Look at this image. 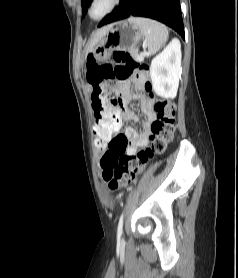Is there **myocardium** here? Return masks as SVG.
<instances>
[{
	"instance_id": "obj_1",
	"label": "myocardium",
	"mask_w": 238,
	"mask_h": 278,
	"mask_svg": "<svg viewBox=\"0 0 238 278\" xmlns=\"http://www.w3.org/2000/svg\"><path fill=\"white\" fill-rule=\"evenodd\" d=\"M121 1L122 0H111L108 9L101 16L94 17L92 15V10H93V7L96 5V3L99 2V0H91L88 5V8H87V15L94 22L101 21L104 18H106L107 16H109L111 13H113L117 9V7L120 5Z\"/></svg>"
}]
</instances>
